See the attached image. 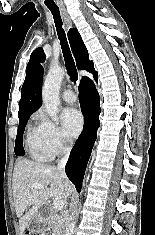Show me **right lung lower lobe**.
Here are the masks:
<instances>
[{"label": "right lung lower lobe", "mask_w": 155, "mask_h": 235, "mask_svg": "<svg viewBox=\"0 0 155 235\" xmlns=\"http://www.w3.org/2000/svg\"><path fill=\"white\" fill-rule=\"evenodd\" d=\"M94 78L97 81L98 75H94ZM79 98L85 123L82 133L71 150L66 165V174L78 192L81 191L84 171L96 140L97 129L100 126V98L91 79L85 78L81 81L79 85Z\"/></svg>", "instance_id": "1"}]
</instances>
